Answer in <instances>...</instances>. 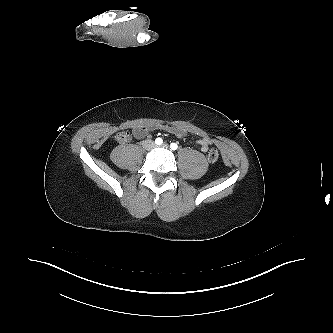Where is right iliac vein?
<instances>
[{
    "label": "right iliac vein",
    "mask_w": 333,
    "mask_h": 333,
    "mask_svg": "<svg viewBox=\"0 0 333 333\" xmlns=\"http://www.w3.org/2000/svg\"><path fill=\"white\" fill-rule=\"evenodd\" d=\"M153 146H154V144L150 140H146V141L143 142V148L146 149V150L152 149Z\"/></svg>",
    "instance_id": "63e3f726"
}]
</instances>
